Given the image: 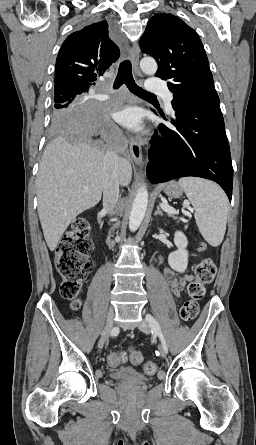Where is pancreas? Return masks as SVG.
Instances as JSON below:
<instances>
[{
	"label": "pancreas",
	"instance_id": "obj_1",
	"mask_svg": "<svg viewBox=\"0 0 256 445\" xmlns=\"http://www.w3.org/2000/svg\"><path fill=\"white\" fill-rule=\"evenodd\" d=\"M169 216H173L172 214H168Z\"/></svg>",
	"mask_w": 256,
	"mask_h": 445
}]
</instances>
